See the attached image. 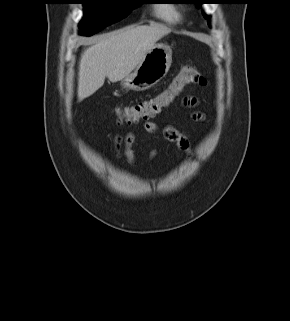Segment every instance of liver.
Masks as SVG:
<instances>
[{
    "label": "liver",
    "instance_id": "6515ba94",
    "mask_svg": "<svg viewBox=\"0 0 290 321\" xmlns=\"http://www.w3.org/2000/svg\"><path fill=\"white\" fill-rule=\"evenodd\" d=\"M170 30L162 25L127 27L100 37L87 47L79 62L78 100L94 94L107 77L117 82L141 63L146 53Z\"/></svg>",
    "mask_w": 290,
    "mask_h": 321
}]
</instances>
